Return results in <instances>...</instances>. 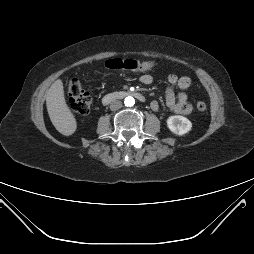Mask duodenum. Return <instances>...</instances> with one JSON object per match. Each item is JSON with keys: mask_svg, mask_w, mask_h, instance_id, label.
<instances>
[{"mask_svg": "<svg viewBox=\"0 0 254 254\" xmlns=\"http://www.w3.org/2000/svg\"><path fill=\"white\" fill-rule=\"evenodd\" d=\"M128 96L135 97V98L139 99L140 101L145 100L144 96L139 92L124 90V91H116V92L106 94L103 97L102 102H103V104H108V103L113 102L115 100L124 99Z\"/></svg>", "mask_w": 254, "mask_h": 254, "instance_id": "obj_1", "label": "duodenum"}]
</instances>
